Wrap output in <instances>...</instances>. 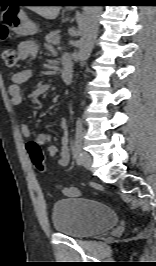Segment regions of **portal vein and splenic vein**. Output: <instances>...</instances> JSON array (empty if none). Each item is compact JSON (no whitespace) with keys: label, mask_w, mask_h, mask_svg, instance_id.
Here are the masks:
<instances>
[{"label":"portal vein and splenic vein","mask_w":156,"mask_h":266,"mask_svg":"<svg viewBox=\"0 0 156 266\" xmlns=\"http://www.w3.org/2000/svg\"><path fill=\"white\" fill-rule=\"evenodd\" d=\"M58 44H59V41H57L56 45H58Z\"/></svg>","instance_id":"1"}]
</instances>
